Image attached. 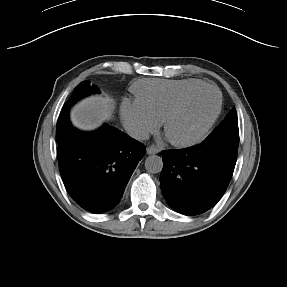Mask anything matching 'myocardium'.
<instances>
[{"mask_svg":"<svg viewBox=\"0 0 287 287\" xmlns=\"http://www.w3.org/2000/svg\"><path fill=\"white\" fill-rule=\"evenodd\" d=\"M204 89L212 90L216 95L215 109H214L212 115L210 116V118L208 119V121L206 122V124L204 125V127L196 135H194L193 137L188 138V139L175 140V139L170 138L168 135V129H169V126L172 123V121L179 115V113L183 109V107L186 104V102L188 101V99L193 94H195L196 92H198L200 90H204ZM221 109H222V96H221L220 91L215 86L204 83V84L198 85L196 87H193V88L189 89L188 91H186L173 104L171 109L166 114V116L163 120L164 133L167 136V138L169 139V141L176 147L187 148V147L194 146V145L198 144L199 142H201L208 135V133L212 129L214 123L218 119L219 114L221 112Z\"/></svg>","mask_w":287,"mask_h":287,"instance_id":"obj_1","label":"myocardium"}]
</instances>
